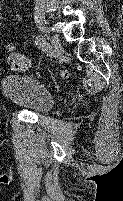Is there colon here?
I'll return each instance as SVG.
<instances>
[{"mask_svg":"<svg viewBox=\"0 0 123 201\" xmlns=\"http://www.w3.org/2000/svg\"><path fill=\"white\" fill-rule=\"evenodd\" d=\"M7 52V61L12 70L19 71L29 68L30 61L27 56L15 52L11 45L7 47Z\"/></svg>","mask_w":123,"mask_h":201,"instance_id":"obj_1","label":"colon"}]
</instances>
